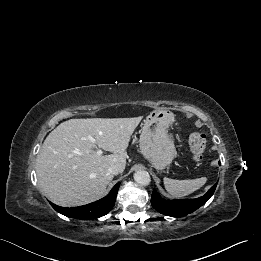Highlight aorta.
<instances>
[{
  "instance_id": "obj_1",
  "label": "aorta",
  "mask_w": 261,
  "mask_h": 261,
  "mask_svg": "<svg viewBox=\"0 0 261 261\" xmlns=\"http://www.w3.org/2000/svg\"><path fill=\"white\" fill-rule=\"evenodd\" d=\"M134 180L140 185L147 186L151 182V177L147 171L139 170L134 173Z\"/></svg>"
}]
</instances>
